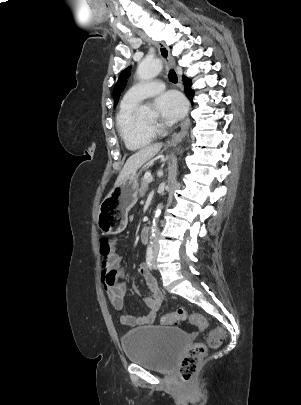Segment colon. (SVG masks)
<instances>
[{
    "label": "colon",
    "mask_w": 301,
    "mask_h": 405,
    "mask_svg": "<svg viewBox=\"0 0 301 405\" xmlns=\"http://www.w3.org/2000/svg\"><path fill=\"white\" fill-rule=\"evenodd\" d=\"M110 235V234H108ZM108 235H103L100 240V251L103 255H108L112 249V242ZM189 319L190 323L201 331H206L208 323L206 318L199 313L188 316L184 309H178L172 313L162 314L159 321L163 325H175ZM224 339V332L220 328H213L207 331L204 342L192 345L184 354L178 366V373L181 381L188 383L199 364L205 357L209 348H217Z\"/></svg>",
    "instance_id": "1"
}]
</instances>
